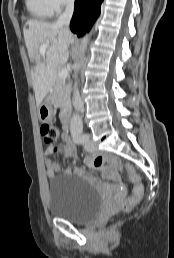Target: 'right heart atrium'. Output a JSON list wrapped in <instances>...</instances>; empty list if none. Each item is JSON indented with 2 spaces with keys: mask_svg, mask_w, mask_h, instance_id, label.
Returning <instances> with one entry per match:
<instances>
[{
  "mask_svg": "<svg viewBox=\"0 0 174 258\" xmlns=\"http://www.w3.org/2000/svg\"><path fill=\"white\" fill-rule=\"evenodd\" d=\"M74 0H47L53 13L60 12L65 7L71 5Z\"/></svg>",
  "mask_w": 174,
  "mask_h": 258,
  "instance_id": "obj_1",
  "label": "right heart atrium"
}]
</instances>
